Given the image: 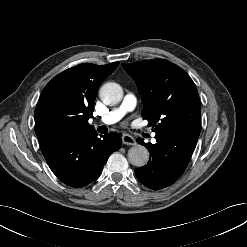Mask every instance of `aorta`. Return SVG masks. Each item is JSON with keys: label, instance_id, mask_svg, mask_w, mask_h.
Returning a JSON list of instances; mask_svg holds the SVG:
<instances>
[{"label": "aorta", "instance_id": "762f6f07", "mask_svg": "<svg viewBox=\"0 0 247 247\" xmlns=\"http://www.w3.org/2000/svg\"><path fill=\"white\" fill-rule=\"evenodd\" d=\"M99 96L104 103L116 105L122 100L123 90L119 84L108 82L100 88ZM128 160L132 165L142 167L149 161V152L144 146L136 144L128 150Z\"/></svg>", "mask_w": 247, "mask_h": 247}]
</instances>
